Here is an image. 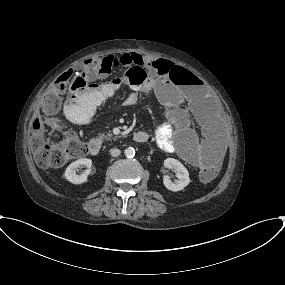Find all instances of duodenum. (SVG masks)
I'll return each mask as SVG.
<instances>
[{
	"label": "duodenum",
	"mask_w": 285,
	"mask_h": 285,
	"mask_svg": "<svg viewBox=\"0 0 285 285\" xmlns=\"http://www.w3.org/2000/svg\"><path fill=\"white\" fill-rule=\"evenodd\" d=\"M75 106L79 109L83 108V105L79 103L75 104ZM133 139L134 141L140 142V143L146 142L148 140V135L144 131H139L134 134ZM100 151H101L100 142L96 139H91L88 143V152L90 153V155L96 156L100 153Z\"/></svg>",
	"instance_id": "410a0bca"
}]
</instances>
